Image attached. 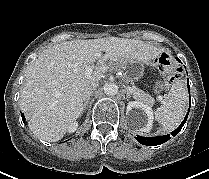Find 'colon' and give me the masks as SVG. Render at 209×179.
Listing matches in <instances>:
<instances>
[{
  "label": "colon",
  "instance_id": "1",
  "mask_svg": "<svg viewBox=\"0 0 209 179\" xmlns=\"http://www.w3.org/2000/svg\"><path fill=\"white\" fill-rule=\"evenodd\" d=\"M157 65L161 68V69H168L169 67V60L168 57L166 55H161L160 57H158V59L156 60ZM182 74V70L180 68H171L168 69V74L165 78V85L169 86L171 84H173L177 79H179L181 77Z\"/></svg>",
  "mask_w": 209,
  "mask_h": 179
}]
</instances>
